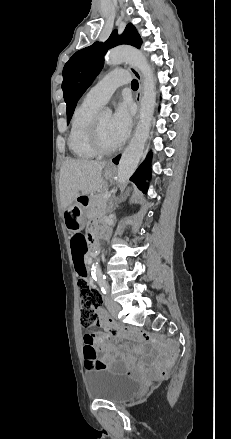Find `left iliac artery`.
Returning <instances> with one entry per match:
<instances>
[{
    "instance_id": "obj_1",
    "label": "left iliac artery",
    "mask_w": 231,
    "mask_h": 439,
    "mask_svg": "<svg viewBox=\"0 0 231 439\" xmlns=\"http://www.w3.org/2000/svg\"><path fill=\"white\" fill-rule=\"evenodd\" d=\"M98 284L101 287V291L106 294L108 290L107 282L105 277L98 278Z\"/></svg>"
}]
</instances>
